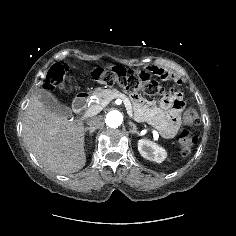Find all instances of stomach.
I'll list each match as a JSON object with an SVG mask.
<instances>
[{"mask_svg": "<svg viewBox=\"0 0 236 236\" xmlns=\"http://www.w3.org/2000/svg\"><path fill=\"white\" fill-rule=\"evenodd\" d=\"M100 91H102L101 88H96V89L94 90V93L97 94V93H99ZM83 96H85V94L79 93L77 98H80V97H83Z\"/></svg>", "mask_w": 236, "mask_h": 236, "instance_id": "0dacf381", "label": "stomach"}]
</instances>
